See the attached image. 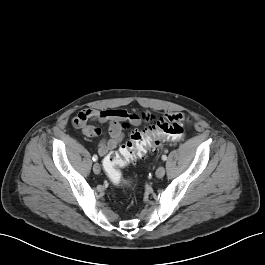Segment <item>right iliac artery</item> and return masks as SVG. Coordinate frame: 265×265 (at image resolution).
Instances as JSON below:
<instances>
[{"instance_id":"1","label":"right iliac artery","mask_w":265,"mask_h":265,"mask_svg":"<svg viewBox=\"0 0 265 265\" xmlns=\"http://www.w3.org/2000/svg\"><path fill=\"white\" fill-rule=\"evenodd\" d=\"M92 159H93V161H97L98 160V156L97 155H93Z\"/></svg>"}]
</instances>
